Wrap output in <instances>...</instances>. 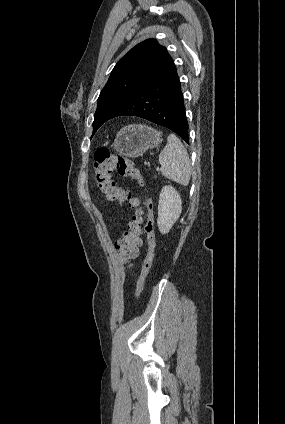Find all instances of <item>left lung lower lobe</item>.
<instances>
[{"label":"left lung lower lobe","instance_id":"1","mask_svg":"<svg viewBox=\"0 0 285 424\" xmlns=\"http://www.w3.org/2000/svg\"><path fill=\"white\" fill-rule=\"evenodd\" d=\"M126 115L167 127L189 142L183 93L172 59L155 80L117 107L107 119Z\"/></svg>","mask_w":285,"mask_h":424}]
</instances>
